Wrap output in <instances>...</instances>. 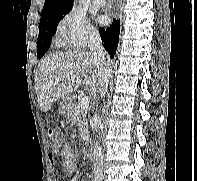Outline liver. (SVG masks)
I'll return each mask as SVG.
<instances>
[{
  "label": "liver",
  "mask_w": 197,
  "mask_h": 181,
  "mask_svg": "<svg viewBox=\"0 0 197 181\" xmlns=\"http://www.w3.org/2000/svg\"><path fill=\"white\" fill-rule=\"evenodd\" d=\"M82 77L92 94L100 91L101 77L89 53L77 50L44 57L35 73V91L41 111H49L55 101L76 91Z\"/></svg>",
  "instance_id": "1"
}]
</instances>
